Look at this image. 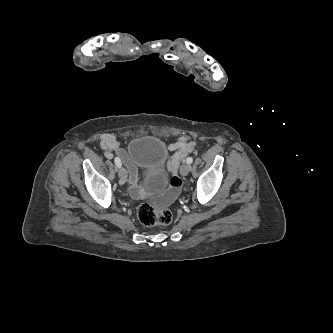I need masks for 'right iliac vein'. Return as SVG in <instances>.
Returning <instances> with one entry per match:
<instances>
[{
    "instance_id": "obj_1",
    "label": "right iliac vein",
    "mask_w": 333,
    "mask_h": 333,
    "mask_svg": "<svg viewBox=\"0 0 333 333\" xmlns=\"http://www.w3.org/2000/svg\"><path fill=\"white\" fill-rule=\"evenodd\" d=\"M118 175L120 183H125L127 179V171L124 167L118 168Z\"/></svg>"
}]
</instances>
